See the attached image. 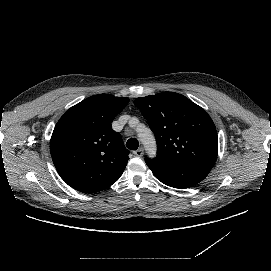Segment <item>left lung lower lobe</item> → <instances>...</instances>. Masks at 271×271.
Returning <instances> with one entry per match:
<instances>
[{"mask_svg": "<svg viewBox=\"0 0 271 271\" xmlns=\"http://www.w3.org/2000/svg\"><path fill=\"white\" fill-rule=\"evenodd\" d=\"M145 161L159 181L167 186L179 189L198 184L211 170L207 167L170 162L158 157L147 158Z\"/></svg>", "mask_w": 271, "mask_h": 271, "instance_id": "left-lung-lower-lobe-1", "label": "left lung lower lobe"}]
</instances>
